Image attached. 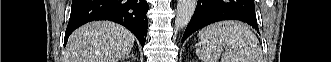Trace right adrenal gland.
<instances>
[{"instance_id": "2a0ac1e0", "label": "right adrenal gland", "mask_w": 331, "mask_h": 62, "mask_svg": "<svg viewBox=\"0 0 331 62\" xmlns=\"http://www.w3.org/2000/svg\"><path fill=\"white\" fill-rule=\"evenodd\" d=\"M129 56L136 58V56L133 54V52Z\"/></svg>"}]
</instances>
